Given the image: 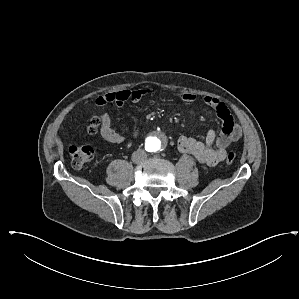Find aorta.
Returning a JSON list of instances; mask_svg holds the SVG:
<instances>
[{
	"instance_id": "1",
	"label": "aorta",
	"mask_w": 299,
	"mask_h": 299,
	"mask_svg": "<svg viewBox=\"0 0 299 299\" xmlns=\"http://www.w3.org/2000/svg\"><path fill=\"white\" fill-rule=\"evenodd\" d=\"M165 142L166 139L163 134L159 132L153 133L145 139V149L150 154H157L163 149Z\"/></svg>"
}]
</instances>
